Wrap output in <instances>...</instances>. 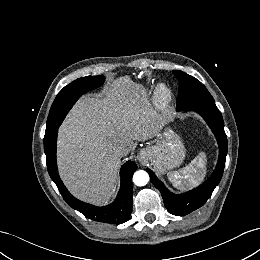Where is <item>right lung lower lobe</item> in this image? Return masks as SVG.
Listing matches in <instances>:
<instances>
[{
    "instance_id": "obj_1",
    "label": "right lung lower lobe",
    "mask_w": 260,
    "mask_h": 260,
    "mask_svg": "<svg viewBox=\"0 0 260 260\" xmlns=\"http://www.w3.org/2000/svg\"><path fill=\"white\" fill-rule=\"evenodd\" d=\"M56 142L57 129L50 135L45 133L44 151L46 154L47 168L50 177L57 185L64 200L75 210H78L89 219L95 221L121 224L126 222L132 212V175L137 169V165L132 161H127L120 170L121 187L113 203L104 207H96L74 198L62 183L56 164Z\"/></svg>"
}]
</instances>
